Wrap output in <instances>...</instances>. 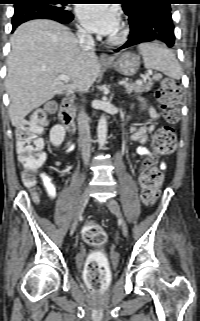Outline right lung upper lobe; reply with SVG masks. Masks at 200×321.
<instances>
[{
  "instance_id": "right-lung-upper-lobe-1",
  "label": "right lung upper lobe",
  "mask_w": 200,
  "mask_h": 321,
  "mask_svg": "<svg viewBox=\"0 0 200 321\" xmlns=\"http://www.w3.org/2000/svg\"><path fill=\"white\" fill-rule=\"evenodd\" d=\"M17 2L15 3V7L23 6V5H28L26 2L32 1V0H16Z\"/></svg>"
}]
</instances>
